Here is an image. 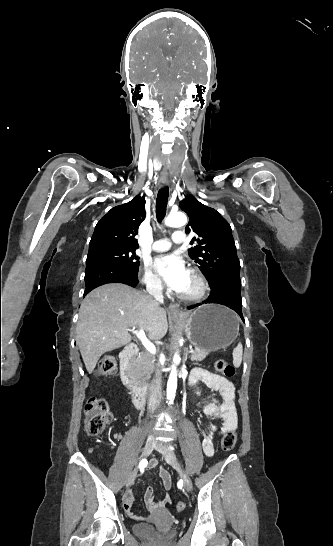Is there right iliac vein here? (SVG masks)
Returning a JSON list of instances; mask_svg holds the SVG:
<instances>
[{"mask_svg": "<svg viewBox=\"0 0 333 546\" xmlns=\"http://www.w3.org/2000/svg\"><path fill=\"white\" fill-rule=\"evenodd\" d=\"M155 444H156V443H155L154 438H153V437H149V438L147 439V441H146V444H145V447H144L142 456H143V457L148 456V455L152 452L153 448L155 447ZM136 476H137V469H135V470L130 474V476L128 477V480H127V483H126L127 487L131 486V485L134 483V481H135V479H136Z\"/></svg>", "mask_w": 333, "mask_h": 546, "instance_id": "obj_1", "label": "right iliac vein"}]
</instances>
